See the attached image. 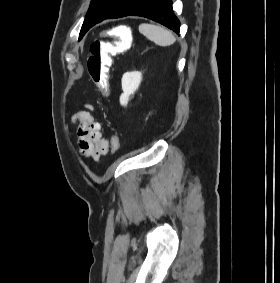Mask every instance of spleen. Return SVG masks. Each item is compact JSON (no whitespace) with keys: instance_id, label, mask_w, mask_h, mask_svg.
<instances>
[{"instance_id":"1","label":"spleen","mask_w":280,"mask_h":283,"mask_svg":"<svg viewBox=\"0 0 280 283\" xmlns=\"http://www.w3.org/2000/svg\"><path fill=\"white\" fill-rule=\"evenodd\" d=\"M138 29L141 34L162 47L170 46L176 41L171 31L157 25L143 23Z\"/></svg>"}]
</instances>
